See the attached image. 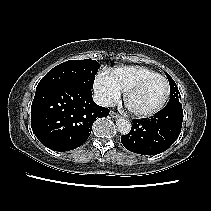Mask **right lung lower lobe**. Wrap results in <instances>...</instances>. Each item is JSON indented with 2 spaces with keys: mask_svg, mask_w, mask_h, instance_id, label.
Segmentation results:
<instances>
[{
  "mask_svg": "<svg viewBox=\"0 0 211 211\" xmlns=\"http://www.w3.org/2000/svg\"><path fill=\"white\" fill-rule=\"evenodd\" d=\"M109 109L98 106L89 88L56 85L37 90L31 106V127L47 148L64 152L81 146L95 120Z\"/></svg>",
  "mask_w": 211,
  "mask_h": 211,
  "instance_id": "1",
  "label": "right lung lower lobe"
}]
</instances>
